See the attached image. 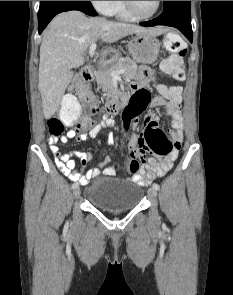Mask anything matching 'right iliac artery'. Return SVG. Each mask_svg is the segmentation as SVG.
I'll list each match as a JSON object with an SVG mask.
<instances>
[{
  "instance_id": "1",
  "label": "right iliac artery",
  "mask_w": 233,
  "mask_h": 295,
  "mask_svg": "<svg viewBox=\"0 0 233 295\" xmlns=\"http://www.w3.org/2000/svg\"><path fill=\"white\" fill-rule=\"evenodd\" d=\"M76 181V180H75ZM78 183H73L72 184V189H75L77 187Z\"/></svg>"
}]
</instances>
